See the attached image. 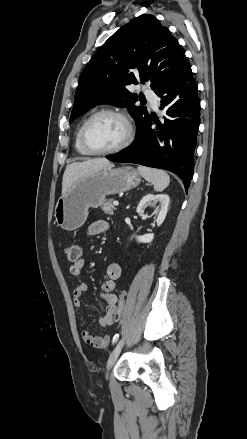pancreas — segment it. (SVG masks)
<instances>
[{
  "mask_svg": "<svg viewBox=\"0 0 247 439\" xmlns=\"http://www.w3.org/2000/svg\"><path fill=\"white\" fill-rule=\"evenodd\" d=\"M100 208L104 211L105 214L113 215L115 211V207L113 206V199L104 200L101 203Z\"/></svg>",
  "mask_w": 247,
  "mask_h": 439,
  "instance_id": "pancreas-1",
  "label": "pancreas"
}]
</instances>
